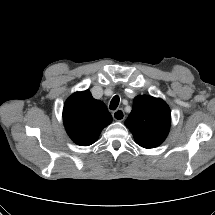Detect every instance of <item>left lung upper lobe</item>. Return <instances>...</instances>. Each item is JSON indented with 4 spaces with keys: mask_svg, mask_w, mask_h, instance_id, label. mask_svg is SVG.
Segmentation results:
<instances>
[{
    "mask_svg": "<svg viewBox=\"0 0 215 215\" xmlns=\"http://www.w3.org/2000/svg\"><path fill=\"white\" fill-rule=\"evenodd\" d=\"M171 123L168 105L160 98L140 95L134 98L133 109L125 121L138 145L155 148L166 139Z\"/></svg>",
    "mask_w": 215,
    "mask_h": 215,
    "instance_id": "1",
    "label": "left lung upper lobe"
}]
</instances>
